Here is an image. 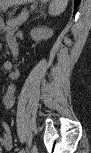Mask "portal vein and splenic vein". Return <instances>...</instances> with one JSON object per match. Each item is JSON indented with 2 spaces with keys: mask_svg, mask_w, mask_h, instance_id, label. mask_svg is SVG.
Masks as SVG:
<instances>
[{
  "mask_svg": "<svg viewBox=\"0 0 91 153\" xmlns=\"http://www.w3.org/2000/svg\"><path fill=\"white\" fill-rule=\"evenodd\" d=\"M23 15H24V16H28V12H25ZM26 18H27V17H26ZM25 20H26V19H25ZM25 20H24V21H25Z\"/></svg>",
  "mask_w": 91,
  "mask_h": 153,
  "instance_id": "1",
  "label": "portal vein and splenic vein"
}]
</instances>
